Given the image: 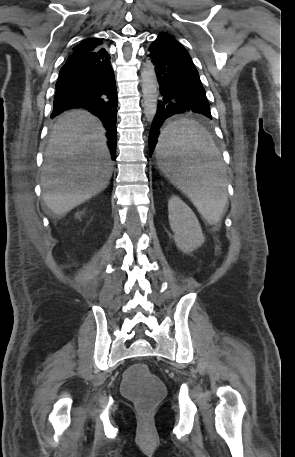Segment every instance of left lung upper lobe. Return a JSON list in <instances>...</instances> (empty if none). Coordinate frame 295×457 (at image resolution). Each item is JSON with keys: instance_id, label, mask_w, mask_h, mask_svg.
<instances>
[{"instance_id": "5c2ea615", "label": "left lung upper lobe", "mask_w": 295, "mask_h": 457, "mask_svg": "<svg viewBox=\"0 0 295 457\" xmlns=\"http://www.w3.org/2000/svg\"><path fill=\"white\" fill-rule=\"evenodd\" d=\"M158 38L171 42V43L185 49L180 42H178L172 35H170L168 33L162 32V33L158 34Z\"/></svg>"}]
</instances>
